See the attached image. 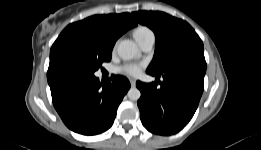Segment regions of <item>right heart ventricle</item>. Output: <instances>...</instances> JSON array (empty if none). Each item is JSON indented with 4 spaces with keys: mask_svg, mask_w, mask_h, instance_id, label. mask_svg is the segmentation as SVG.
<instances>
[{
    "mask_svg": "<svg viewBox=\"0 0 261 150\" xmlns=\"http://www.w3.org/2000/svg\"><path fill=\"white\" fill-rule=\"evenodd\" d=\"M151 30L145 26H139L134 30V37L138 41L142 38L146 33L150 32Z\"/></svg>",
    "mask_w": 261,
    "mask_h": 150,
    "instance_id": "right-heart-ventricle-1",
    "label": "right heart ventricle"
}]
</instances>
